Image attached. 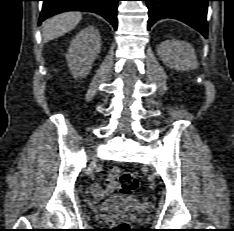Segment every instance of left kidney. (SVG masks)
Listing matches in <instances>:
<instances>
[{"label":"left kidney","instance_id":"obj_1","mask_svg":"<svg viewBox=\"0 0 234 231\" xmlns=\"http://www.w3.org/2000/svg\"><path fill=\"white\" fill-rule=\"evenodd\" d=\"M164 64L176 70H189L197 66L196 55L191 44L185 41L166 40L157 48Z\"/></svg>","mask_w":234,"mask_h":231}]
</instances>
